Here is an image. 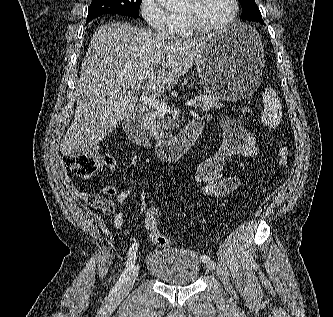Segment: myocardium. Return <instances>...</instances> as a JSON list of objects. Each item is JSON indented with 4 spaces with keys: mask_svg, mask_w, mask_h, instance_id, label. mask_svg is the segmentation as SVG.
Returning a JSON list of instances; mask_svg holds the SVG:
<instances>
[{
    "mask_svg": "<svg viewBox=\"0 0 333 317\" xmlns=\"http://www.w3.org/2000/svg\"><path fill=\"white\" fill-rule=\"evenodd\" d=\"M197 0H190L191 3H195ZM232 2V12L230 16L223 21L222 23L214 26H203L201 25L194 17L191 11H180L179 15L183 19L186 26L196 34L200 35H207V34H214L220 31H223L230 27L238 17L239 10H240V3L239 0H231Z\"/></svg>",
    "mask_w": 333,
    "mask_h": 317,
    "instance_id": "obj_1",
    "label": "myocardium"
}]
</instances>
